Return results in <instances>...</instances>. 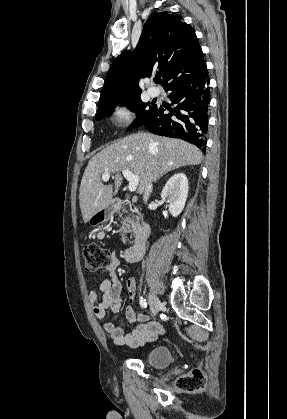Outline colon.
<instances>
[{
	"mask_svg": "<svg viewBox=\"0 0 287 419\" xmlns=\"http://www.w3.org/2000/svg\"><path fill=\"white\" fill-rule=\"evenodd\" d=\"M85 268L95 272L106 267L111 261V253L97 244H87L83 248ZM205 385V376L200 367L194 368L190 373L179 377L176 386L181 390L196 391Z\"/></svg>",
	"mask_w": 287,
	"mask_h": 419,
	"instance_id": "5ec220e1",
	"label": "colon"
}]
</instances>
